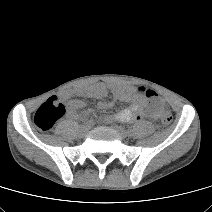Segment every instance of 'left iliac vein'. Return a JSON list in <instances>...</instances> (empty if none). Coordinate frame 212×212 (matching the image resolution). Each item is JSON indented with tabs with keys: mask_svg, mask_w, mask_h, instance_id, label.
Returning <instances> with one entry per match:
<instances>
[{
	"mask_svg": "<svg viewBox=\"0 0 212 212\" xmlns=\"http://www.w3.org/2000/svg\"><path fill=\"white\" fill-rule=\"evenodd\" d=\"M113 128L122 138L128 137L129 134L123 127L114 125Z\"/></svg>",
	"mask_w": 212,
	"mask_h": 212,
	"instance_id": "left-iliac-vein-1",
	"label": "left iliac vein"
}]
</instances>
